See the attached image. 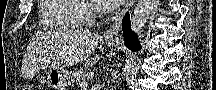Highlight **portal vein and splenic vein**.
Returning <instances> with one entry per match:
<instances>
[{
	"instance_id": "18ae733b",
	"label": "portal vein and splenic vein",
	"mask_w": 216,
	"mask_h": 90,
	"mask_svg": "<svg viewBox=\"0 0 216 90\" xmlns=\"http://www.w3.org/2000/svg\"><path fill=\"white\" fill-rule=\"evenodd\" d=\"M85 86H86V88H87L88 84H85ZM81 88H83V84H81ZM83 90H84V88H83Z\"/></svg>"
}]
</instances>
